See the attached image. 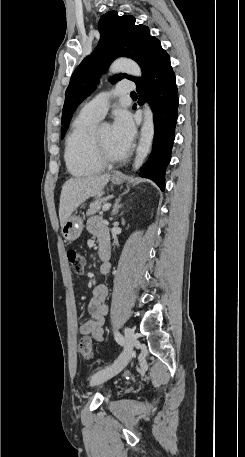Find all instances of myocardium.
Instances as JSON below:
<instances>
[{"mask_svg": "<svg viewBox=\"0 0 245 457\" xmlns=\"http://www.w3.org/2000/svg\"><path fill=\"white\" fill-rule=\"evenodd\" d=\"M85 146H86V151L85 155L87 159L100 167L111 165L117 162H120L124 159L127 158L128 154L125 152L121 155L118 156H113V155H100L97 151V146H96V130L91 129L90 132L87 135L86 141H85Z\"/></svg>", "mask_w": 245, "mask_h": 457, "instance_id": "obj_1", "label": "myocardium"}]
</instances>
